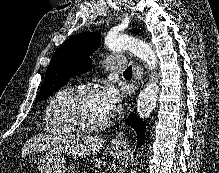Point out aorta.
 Masks as SVG:
<instances>
[{"mask_svg": "<svg viewBox=\"0 0 219 173\" xmlns=\"http://www.w3.org/2000/svg\"><path fill=\"white\" fill-rule=\"evenodd\" d=\"M104 45L110 51L131 52L142 60L147 65L149 71H151L150 80L141 90L137 99V113L139 117L142 119L148 118L156 107L159 91L156 73L158 60L155 52L149 44L127 34L108 35L105 37ZM130 173H136V171L131 170Z\"/></svg>", "mask_w": 219, "mask_h": 173, "instance_id": "obj_1", "label": "aorta"}]
</instances>
